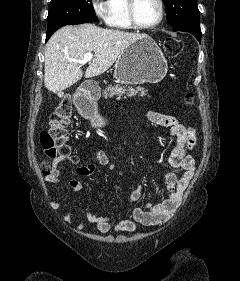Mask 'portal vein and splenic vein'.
Wrapping results in <instances>:
<instances>
[{
	"label": "portal vein and splenic vein",
	"mask_w": 240,
	"mask_h": 281,
	"mask_svg": "<svg viewBox=\"0 0 240 281\" xmlns=\"http://www.w3.org/2000/svg\"><path fill=\"white\" fill-rule=\"evenodd\" d=\"M93 59V54L92 53H86L82 59L80 60H73V61H76L80 64H85V63H90Z\"/></svg>",
	"instance_id": "18ae733b"
}]
</instances>
